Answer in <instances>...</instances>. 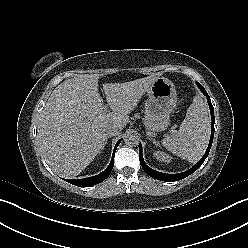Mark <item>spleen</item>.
I'll list each match as a JSON object with an SVG mask.
<instances>
[{
  "mask_svg": "<svg viewBox=\"0 0 248 248\" xmlns=\"http://www.w3.org/2000/svg\"><path fill=\"white\" fill-rule=\"evenodd\" d=\"M209 137L208 109L201 96L197 95L187 109L179 130L167 135L162 140V145L173 154L193 163L204 154Z\"/></svg>",
  "mask_w": 248,
  "mask_h": 248,
  "instance_id": "1",
  "label": "spleen"
}]
</instances>
